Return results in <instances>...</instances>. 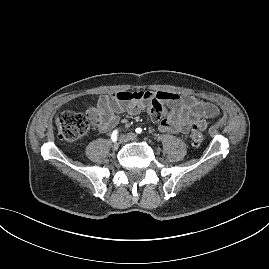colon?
<instances>
[{
    "instance_id": "5ec220e1",
    "label": "colon",
    "mask_w": 269,
    "mask_h": 269,
    "mask_svg": "<svg viewBox=\"0 0 269 269\" xmlns=\"http://www.w3.org/2000/svg\"><path fill=\"white\" fill-rule=\"evenodd\" d=\"M147 113L152 119H159L166 115L163 103L155 98L147 107ZM89 116L74 111H63L55 117V125L58 137L67 142H73L82 137L90 127ZM190 138L195 146H200L205 135L199 125H194L190 132Z\"/></svg>"
}]
</instances>
